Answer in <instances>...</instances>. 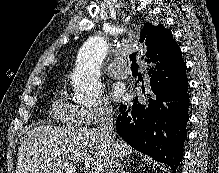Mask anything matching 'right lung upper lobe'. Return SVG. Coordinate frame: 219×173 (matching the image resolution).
I'll return each instance as SVG.
<instances>
[{"mask_svg":"<svg viewBox=\"0 0 219 173\" xmlns=\"http://www.w3.org/2000/svg\"><path fill=\"white\" fill-rule=\"evenodd\" d=\"M140 35V40L144 41L147 46L146 56L148 59H153L156 55L167 57L181 55V50L171 32L160 24H145Z\"/></svg>","mask_w":219,"mask_h":173,"instance_id":"cb5924a9","label":"right lung upper lobe"}]
</instances>
